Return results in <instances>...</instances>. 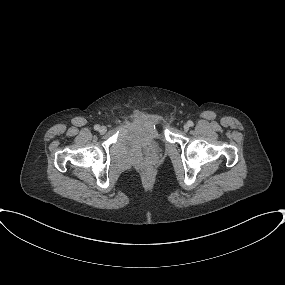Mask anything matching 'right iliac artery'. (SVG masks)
Wrapping results in <instances>:
<instances>
[{
    "mask_svg": "<svg viewBox=\"0 0 285 285\" xmlns=\"http://www.w3.org/2000/svg\"><path fill=\"white\" fill-rule=\"evenodd\" d=\"M99 128H100L99 125H95V126H94V129H95V130H99Z\"/></svg>",
    "mask_w": 285,
    "mask_h": 285,
    "instance_id": "82829eb1",
    "label": "right iliac artery"
}]
</instances>
